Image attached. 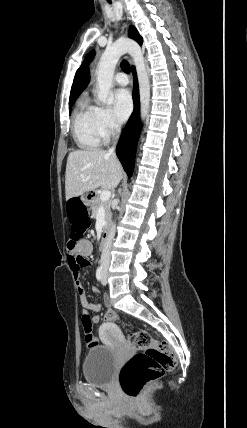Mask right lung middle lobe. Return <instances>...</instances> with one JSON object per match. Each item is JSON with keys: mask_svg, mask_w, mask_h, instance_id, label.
<instances>
[{"mask_svg": "<svg viewBox=\"0 0 247 428\" xmlns=\"http://www.w3.org/2000/svg\"><path fill=\"white\" fill-rule=\"evenodd\" d=\"M73 106V104H69V110H71V107Z\"/></svg>", "mask_w": 247, "mask_h": 428, "instance_id": "1", "label": "right lung middle lobe"}]
</instances>
